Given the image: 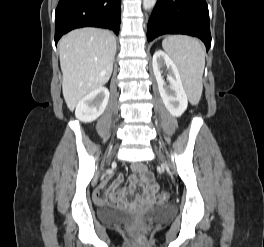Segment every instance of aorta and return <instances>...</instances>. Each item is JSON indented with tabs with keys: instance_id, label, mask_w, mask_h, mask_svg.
Instances as JSON below:
<instances>
[{
	"instance_id": "762f6f07",
	"label": "aorta",
	"mask_w": 264,
	"mask_h": 247,
	"mask_svg": "<svg viewBox=\"0 0 264 247\" xmlns=\"http://www.w3.org/2000/svg\"><path fill=\"white\" fill-rule=\"evenodd\" d=\"M157 0H143V8L145 10H150L154 7Z\"/></svg>"
}]
</instances>
